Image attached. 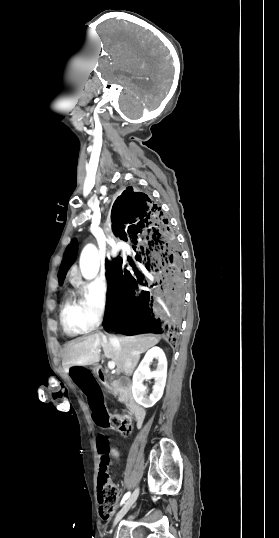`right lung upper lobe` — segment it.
<instances>
[{
	"instance_id": "cb5924a9",
	"label": "right lung upper lobe",
	"mask_w": 279,
	"mask_h": 538,
	"mask_svg": "<svg viewBox=\"0 0 279 538\" xmlns=\"http://www.w3.org/2000/svg\"><path fill=\"white\" fill-rule=\"evenodd\" d=\"M126 333H133V332H126ZM126 333H125V334H126Z\"/></svg>"
}]
</instances>
